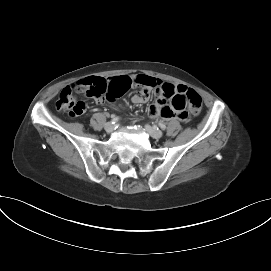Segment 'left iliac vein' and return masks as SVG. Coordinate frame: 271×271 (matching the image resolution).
Here are the masks:
<instances>
[{
    "label": "left iliac vein",
    "instance_id": "4c4485c4",
    "mask_svg": "<svg viewBox=\"0 0 271 271\" xmlns=\"http://www.w3.org/2000/svg\"><path fill=\"white\" fill-rule=\"evenodd\" d=\"M145 129H146L147 133H148L151 137H153V138H155V139H159V138H161V137L163 136L162 131H160V130H158V129H156L155 127H152V126H150V125H146V126H145Z\"/></svg>",
    "mask_w": 271,
    "mask_h": 271
}]
</instances>
